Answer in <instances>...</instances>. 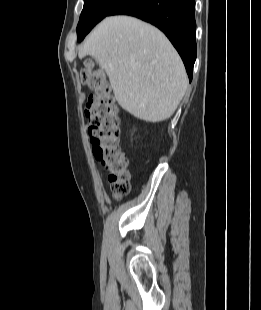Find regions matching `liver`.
Listing matches in <instances>:
<instances>
[{
  "label": "liver",
  "mask_w": 261,
  "mask_h": 310,
  "mask_svg": "<svg viewBox=\"0 0 261 310\" xmlns=\"http://www.w3.org/2000/svg\"><path fill=\"white\" fill-rule=\"evenodd\" d=\"M78 56H92L108 75L119 105L146 122L170 118L188 86L182 60L167 37L134 17L105 18Z\"/></svg>",
  "instance_id": "1"
}]
</instances>
